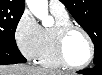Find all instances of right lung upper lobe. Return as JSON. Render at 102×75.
Wrapping results in <instances>:
<instances>
[{
  "mask_svg": "<svg viewBox=\"0 0 102 75\" xmlns=\"http://www.w3.org/2000/svg\"><path fill=\"white\" fill-rule=\"evenodd\" d=\"M24 0H0V7L24 10Z\"/></svg>",
  "mask_w": 102,
  "mask_h": 75,
  "instance_id": "obj_1",
  "label": "right lung upper lobe"
}]
</instances>
